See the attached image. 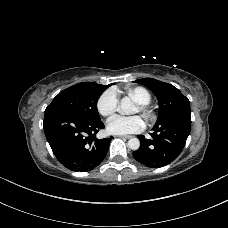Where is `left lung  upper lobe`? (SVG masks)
<instances>
[{"label": "left lung upper lobe", "instance_id": "left-lung-upper-lobe-1", "mask_svg": "<svg viewBox=\"0 0 228 228\" xmlns=\"http://www.w3.org/2000/svg\"><path fill=\"white\" fill-rule=\"evenodd\" d=\"M148 87L159 102V117L155 125H159L170 117H174L176 126L182 125L178 115L182 111H190V102L176 87L153 78H143L135 81Z\"/></svg>", "mask_w": 228, "mask_h": 228}]
</instances>
